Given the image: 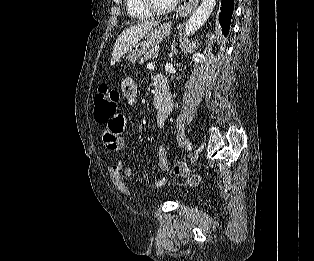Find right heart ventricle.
Masks as SVG:
<instances>
[{
  "mask_svg": "<svg viewBox=\"0 0 314 261\" xmlns=\"http://www.w3.org/2000/svg\"><path fill=\"white\" fill-rule=\"evenodd\" d=\"M129 16L135 20H145L152 16L141 4L140 0H125Z\"/></svg>",
  "mask_w": 314,
  "mask_h": 261,
  "instance_id": "right-heart-ventricle-1",
  "label": "right heart ventricle"
}]
</instances>
